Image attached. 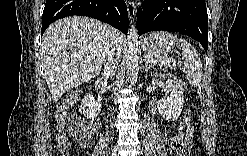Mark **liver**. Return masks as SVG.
<instances>
[{"label":"liver","instance_id":"6515ba94","mask_svg":"<svg viewBox=\"0 0 247 156\" xmlns=\"http://www.w3.org/2000/svg\"><path fill=\"white\" fill-rule=\"evenodd\" d=\"M108 37V26L88 17L60 19L46 29L43 64L53 102L100 73ZM117 38L121 47L124 37L117 32Z\"/></svg>","mask_w":247,"mask_h":156}]
</instances>
